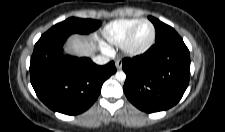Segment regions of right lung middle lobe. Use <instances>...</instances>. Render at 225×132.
<instances>
[{
	"label": "right lung middle lobe",
	"mask_w": 225,
	"mask_h": 132,
	"mask_svg": "<svg viewBox=\"0 0 225 132\" xmlns=\"http://www.w3.org/2000/svg\"><path fill=\"white\" fill-rule=\"evenodd\" d=\"M101 25V22L93 19H80L71 17L67 20L56 24L45 34H64L70 35L72 33L88 34L95 31Z\"/></svg>",
	"instance_id": "1"
}]
</instances>
